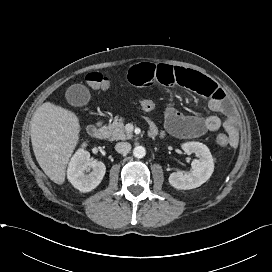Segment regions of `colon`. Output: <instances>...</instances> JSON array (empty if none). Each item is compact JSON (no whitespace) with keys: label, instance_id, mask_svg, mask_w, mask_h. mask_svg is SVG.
Returning <instances> with one entry per match:
<instances>
[{"label":"colon","instance_id":"obj_1","mask_svg":"<svg viewBox=\"0 0 272 272\" xmlns=\"http://www.w3.org/2000/svg\"><path fill=\"white\" fill-rule=\"evenodd\" d=\"M86 82L93 89H104L109 85L108 77L99 72H91L87 74ZM138 104L140 108L145 111H152L157 108V103L147 98H140L138 100ZM217 143L221 147H226L229 145V138L224 134H220L217 137Z\"/></svg>","mask_w":272,"mask_h":272}]
</instances>
